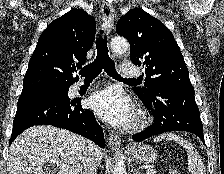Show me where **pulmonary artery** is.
I'll use <instances>...</instances> for the list:
<instances>
[{
    "instance_id": "e3ab8cb5",
    "label": "pulmonary artery",
    "mask_w": 224,
    "mask_h": 174,
    "mask_svg": "<svg viewBox=\"0 0 224 174\" xmlns=\"http://www.w3.org/2000/svg\"><path fill=\"white\" fill-rule=\"evenodd\" d=\"M122 74L125 77L139 76L141 75V70L139 67L135 66L134 64L126 63L123 65ZM79 87H80L79 85H76L75 89H78Z\"/></svg>"
}]
</instances>
